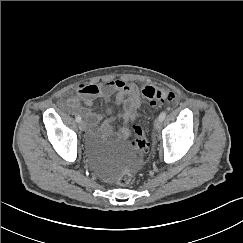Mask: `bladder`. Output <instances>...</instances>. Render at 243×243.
<instances>
[{
    "label": "bladder",
    "mask_w": 243,
    "mask_h": 243,
    "mask_svg": "<svg viewBox=\"0 0 243 243\" xmlns=\"http://www.w3.org/2000/svg\"><path fill=\"white\" fill-rule=\"evenodd\" d=\"M109 135V130L102 126L90 135V142L92 144H104L108 141ZM118 161L124 169H129L132 165L137 164L138 158L131 151L125 149L119 153Z\"/></svg>",
    "instance_id": "1"
}]
</instances>
